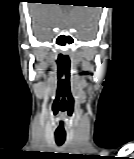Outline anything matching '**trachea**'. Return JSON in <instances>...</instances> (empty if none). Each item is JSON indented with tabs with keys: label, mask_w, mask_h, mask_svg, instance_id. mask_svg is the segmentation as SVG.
Instances as JSON below:
<instances>
[{
	"label": "trachea",
	"mask_w": 134,
	"mask_h": 159,
	"mask_svg": "<svg viewBox=\"0 0 134 159\" xmlns=\"http://www.w3.org/2000/svg\"><path fill=\"white\" fill-rule=\"evenodd\" d=\"M66 134L65 133H55V142L58 146H62L65 142Z\"/></svg>",
	"instance_id": "3493384b"
}]
</instances>
